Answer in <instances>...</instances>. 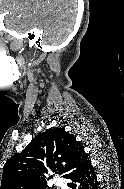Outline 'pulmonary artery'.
Here are the masks:
<instances>
[{"label": "pulmonary artery", "mask_w": 124, "mask_h": 189, "mask_svg": "<svg viewBox=\"0 0 124 189\" xmlns=\"http://www.w3.org/2000/svg\"><path fill=\"white\" fill-rule=\"evenodd\" d=\"M54 183H55L56 185H58V186L61 185V182H60L58 179H55V180H54Z\"/></svg>", "instance_id": "1"}]
</instances>
